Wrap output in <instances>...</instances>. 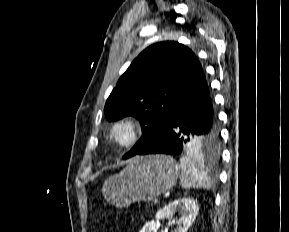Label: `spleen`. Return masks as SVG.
Listing matches in <instances>:
<instances>
[{
	"instance_id": "obj_1",
	"label": "spleen",
	"mask_w": 289,
	"mask_h": 232,
	"mask_svg": "<svg viewBox=\"0 0 289 232\" xmlns=\"http://www.w3.org/2000/svg\"><path fill=\"white\" fill-rule=\"evenodd\" d=\"M181 176L180 182L185 189L203 188L210 189L211 183L203 166L197 164L190 157L180 159Z\"/></svg>"
}]
</instances>
